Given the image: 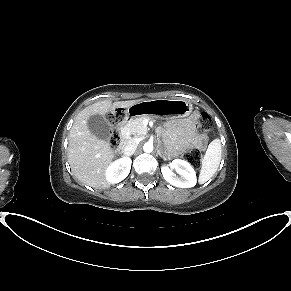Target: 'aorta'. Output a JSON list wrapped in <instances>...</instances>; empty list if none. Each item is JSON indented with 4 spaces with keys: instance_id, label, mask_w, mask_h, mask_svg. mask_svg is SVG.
Wrapping results in <instances>:
<instances>
[{
    "instance_id": "1",
    "label": "aorta",
    "mask_w": 291,
    "mask_h": 291,
    "mask_svg": "<svg viewBox=\"0 0 291 291\" xmlns=\"http://www.w3.org/2000/svg\"><path fill=\"white\" fill-rule=\"evenodd\" d=\"M143 150L144 152L146 153H151L153 151V143L151 142H146L144 145H143Z\"/></svg>"
}]
</instances>
